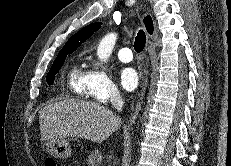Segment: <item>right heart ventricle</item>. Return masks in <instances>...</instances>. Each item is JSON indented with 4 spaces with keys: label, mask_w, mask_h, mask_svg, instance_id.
I'll return each mask as SVG.
<instances>
[{
    "label": "right heart ventricle",
    "mask_w": 231,
    "mask_h": 166,
    "mask_svg": "<svg viewBox=\"0 0 231 166\" xmlns=\"http://www.w3.org/2000/svg\"><path fill=\"white\" fill-rule=\"evenodd\" d=\"M68 84L70 90L79 98H83L86 93V72L78 66L74 65L68 77Z\"/></svg>",
    "instance_id": "1"
}]
</instances>
